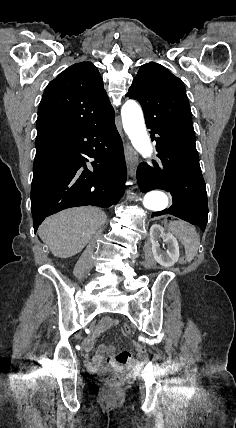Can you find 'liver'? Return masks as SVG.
I'll return each mask as SVG.
<instances>
[{
  "label": "liver",
  "mask_w": 236,
  "mask_h": 428,
  "mask_svg": "<svg viewBox=\"0 0 236 428\" xmlns=\"http://www.w3.org/2000/svg\"><path fill=\"white\" fill-rule=\"evenodd\" d=\"M107 220L100 208H70L46 218L38 234L56 258L79 254Z\"/></svg>",
  "instance_id": "liver-1"
}]
</instances>
